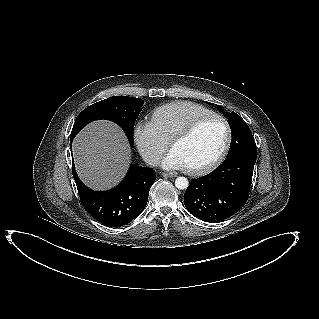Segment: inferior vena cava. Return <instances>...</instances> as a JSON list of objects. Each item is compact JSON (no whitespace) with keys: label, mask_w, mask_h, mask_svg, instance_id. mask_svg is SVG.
<instances>
[{"label":"inferior vena cava","mask_w":319,"mask_h":319,"mask_svg":"<svg viewBox=\"0 0 319 319\" xmlns=\"http://www.w3.org/2000/svg\"><path fill=\"white\" fill-rule=\"evenodd\" d=\"M143 160L152 166H157L159 164V159L154 156L153 154H144L143 155Z\"/></svg>","instance_id":"inferior-vena-cava-1"}]
</instances>
